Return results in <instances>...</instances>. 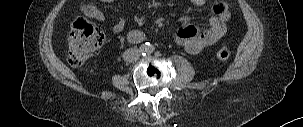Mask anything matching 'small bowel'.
<instances>
[{
	"label": "small bowel",
	"instance_id": "small-bowel-1",
	"mask_svg": "<svg viewBox=\"0 0 303 127\" xmlns=\"http://www.w3.org/2000/svg\"><path fill=\"white\" fill-rule=\"evenodd\" d=\"M105 3H110L115 0H101ZM197 1V0H193ZM88 14L100 21H105L104 12L97 6H91L88 10ZM229 18V12L226 9L220 10L218 16L211 17L209 19V28L207 30H200L196 26L190 24L182 28L179 40L184 45L185 49L189 53H197L204 46L218 40L226 30L225 21ZM138 23L141 22V18H135ZM126 21L123 18L118 19L112 26V30L115 33H120L124 30ZM144 32L140 29H132L128 32V40L132 43H139L144 39Z\"/></svg>",
	"mask_w": 303,
	"mask_h": 127
}]
</instances>
